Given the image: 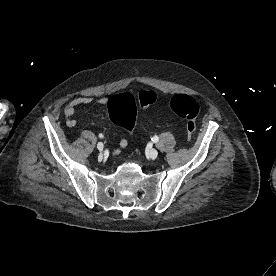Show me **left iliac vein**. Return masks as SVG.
Masks as SVG:
<instances>
[{
    "instance_id": "left-iliac-vein-1",
    "label": "left iliac vein",
    "mask_w": 276,
    "mask_h": 276,
    "mask_svg": "<svg viewBox=\"0 0 276 276\" xmlns=\"http://www.w3.org/2000/svg\"><path fill=\"white\" fill-rule=\"evenodd\" d=\"M149 156H150L152 159L157 158V156H158V151H157L156 149H151L150 152H149Z\"/></svg>"
}]
</instances>
